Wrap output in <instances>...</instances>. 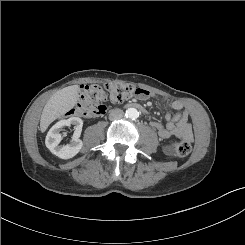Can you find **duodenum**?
Masks as SVG:
<instances>
[{"instance_id": "410a0bca", "label": "duodenum", "mask_w": 245, "mask_h": 245, "mask_svg": "<svg viewBox=\"0 0 245 245\" xmlns=\"http://www.w3.org/2000/svg\"><path fill=\"white\" fill-rule=\"evenodd\" d=\"M129 106L133 107V108H137V109L141 110L142 112L146 113L145 109L137 103H131V104H129Z\"/></svg>"}]
</instances>
